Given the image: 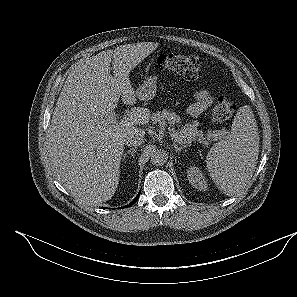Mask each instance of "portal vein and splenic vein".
Returning <instances> with one entry per match:
<instances>
[{
    "label": "portal vein and splenic vein",
    "mask_w": 297,
    "mask_h": 297,
    "mask_svg": "<svg viewBox=\"0 0 297 297\" xmlns=\"http://www.w3.org/2000/svg\"><path fill=\"white\" fill-rule=\"evenodd\" d=\"M108 121H109L110 123H115V122H117V120H116V118H115V115H114V114L110 115V116L108 117ZM221 134H222V131H218L217 133L213 134V137H214V138H218V136H220ZM170 135H171V137H172L174 140H176V141H178V142H182V141H183V138H182L181 136H179L177 133H175L174 131H172V132L170 133Z\"/></svg>",
    "instance_id": "obj_1"
}]
</instances>
